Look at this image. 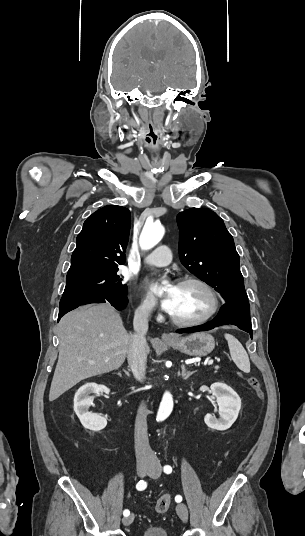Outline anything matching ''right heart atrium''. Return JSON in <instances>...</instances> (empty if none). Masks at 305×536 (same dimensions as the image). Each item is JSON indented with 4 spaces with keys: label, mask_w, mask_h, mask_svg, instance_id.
<instances>
[{
    "label": "right heart atrium",
    "mask_w": 305,
    "mask_h": 536,
    "mask_svg": "<svg viewBox=\"0 0 305 536\" xmlns=\"http://www.w3.org/2000/svg\"><path fill=\"white\" fill-rule=\"evenodd\" d=\"M154 311V303L150 299H143L136 308V314L140 317H148Z\"/></svg>",
    "instance_id": "1"
}]
</instances>
